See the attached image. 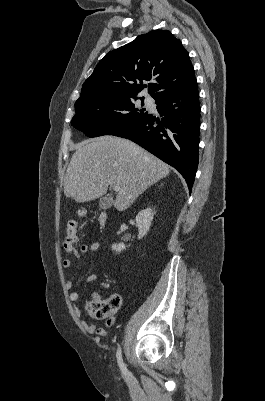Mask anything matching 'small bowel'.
Returning a JSON list of instances; mask_svg holds the SVG:
<instances>
[{
	"label": "small bowel",
	"mask_w": 265,
	"mask_h": 401,
	"mask_svg": "<svg viewBox=\"0 0 265 401\" xmlns=\"http://www.w3.org/2000/svg\"><path fill=\"white\" fill-rule=\"evenodd\" d=\"M63 246H64V249L66 250V252L70 255V257L66 258L63 261V267L66 269H69L73 266L74 258L77 260H80L82 258L83 254L94 253L100 248V244L98 242L83 243L78 247L75 244H73L72 246H67L65 243H63ZM96 279H97V275L92 273L86 277L85 282L90 283V282L95 281ZM72 287H73V282L71 280H68L66 282V288L68 290H70ZM93 298H94V300H97V299H100V296H99V294H94ZM69 299L71 302L76 303L79 299V293L77 291H71L69 294ZM74 312L77 317H80L81 311L78 307H75ZM113 322H114V319L111 318V319L107 320V325H111ZM81 324H82L83 328H85L90 333H96L99 335L106 334V331L104 329L100 328L99 326H97L96 324H90L86 321H82Z\"/></svg>",
	"instance_id": "obj_1"
}]
</instances>
